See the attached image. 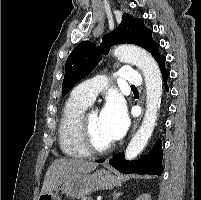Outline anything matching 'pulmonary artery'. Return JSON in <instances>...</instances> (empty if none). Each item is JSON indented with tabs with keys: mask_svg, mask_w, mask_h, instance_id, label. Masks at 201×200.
Segmentation results:
<instances>
[{
	"mask_svg": "<svg viewBox=\"0 0 201 200\" xmlns=\"http://www.w3.org/2000/svg\"><path fill=\"white\" fill-rule=\"evenodd\" d=\"M119 75L125 82L129 84H141V75L131 67L123 66L120 69ZM106 86L107 81L103 77L93 78L75 87L73 90V95L88 103H92Z\"/></svg>",
	"mask_w": 201,
	"mask_h": 200,
	"instance_id": "1",
	"label": "pulmonary artery"
}]
</instances>
